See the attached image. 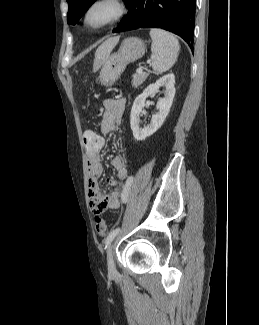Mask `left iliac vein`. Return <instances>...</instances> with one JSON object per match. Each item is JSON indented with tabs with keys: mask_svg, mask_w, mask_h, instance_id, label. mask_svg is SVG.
<instances>
[{
	"mask_svg": "<svg viewBox=\"0 0 259 325\" xmlns=\"http://www.w3.org/2000/svg\"><path fill=\"white\" fill-rule=\"evenodd\" d=\"M108 272L111 277H116L117 270L113 259V245H110L107 251Z\"/></svg>",
	"mask_w": 259,
	"mask_h": 325,
	"instance_id": "left-iliac-vein-1",
	"label": "left iliac vein"
}]
</instances>
